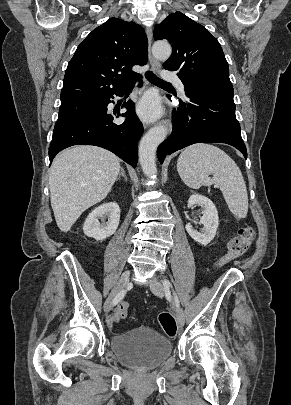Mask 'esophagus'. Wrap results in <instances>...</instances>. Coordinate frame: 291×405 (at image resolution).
Instances as JSON below:
<instances>
[{
  "instance_id": "34e87169",
  "label": "esophagus",
  "mask_w": 291,
  "mask_h": 405,
  "mask_svg": "<svg viewBox=\"0 0 291 405\" xmlns=\"http://www.w3.org/2000/svg\"><path fill=\"white\" fill-rule=\"evenodd\" d=\"M147 31H148V33H149V34H148V42H149V62H150L151 70H152L153 72H158L159 69H160V67H161V65H160V63H159L157 60H155V59L153 58V56L151 55L150 46H151V41H152V35H151V30H150V29H147ZM159 124L165 125V126H167V127L169 128V130H171L172 125H171V122H170L169 119L161 120V121H159Z\"/></svg>"
}]
</instances>
